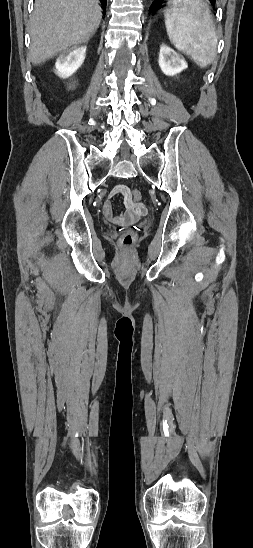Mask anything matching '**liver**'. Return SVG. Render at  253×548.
I'll return each mask as SVG.
<instances>
[{
	"label": "liver",
	"instance_id": "6515ba94",
	"mask_svg": "<svg viewBox=\"0 0 253 548\" xmlns=\"http://www.w3.org/2000/svg\"><path fill=\"white\" fill-rule=\"evenodd\" d=\"M101 11L98 0H35L29 27L32 64L88 41L100 25Z\"/></svg>",
	"mask_w": 253,
	"mask_h": 548
}]
</instances>
